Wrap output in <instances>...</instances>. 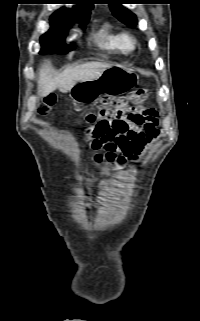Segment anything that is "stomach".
<instances>
[{
    "label": "stomach",
    "instance_id": "obj_1",
    "mask_svg": "<svg viewBox=\"0 0 200 321\" xmlns=\"http://www.w3.org/2000/svg\"><path fill=\"white\" fill-rule=\"evenodd\" d=\"M137 82L138 75L134 70L115 65L96 79L80 81L70 90V97L74 102L87 104L96 101L102 93L111 97L126 93Z\"/></svg>",
    "mask_w": 200,
    "mask_h": 321
}]
</instances>
